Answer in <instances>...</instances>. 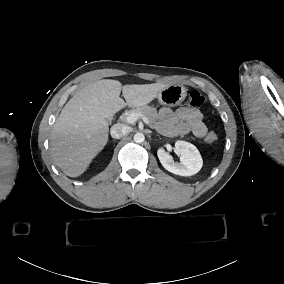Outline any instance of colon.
<instances>
[{
  "label": "colon",
  "instance_id": "obj_1",
  "mask_svg": "<svg viewBox=\"0 0 284 284\" xmlns=\"http://www.w3.org/2000/svg\"><path fill=\"white\" fill-rule=\"evenodd\" d=\"M187 97H188V104L192 107L198 108V107L203 106L205 103V98L197 90L188 89ZM205 140L207 143H213L216 140V134L213 132L208 133L206 135Z\"/></svg>",
  "mask_w": 284,
  "mask_h": 284
}]
</instances>
